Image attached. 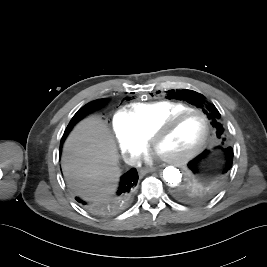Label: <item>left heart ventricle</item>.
I'll return each instance as SVG.
<instances>
[{
	"label": "left heart ventricle",
	"mask_w": 267,
	"mask_h": 267,
	"mask_svg": "<svg viewBox=\"0 0 267 267\" xmlns=\"http://www.w3.org/2000/svg\"><path fill=\"white\" fill-rule=\"evenodd\" d=\"M204 133L203 118L197 114L188 115L159 139L156 150L163 157L188 152L201 141Z\"/></svg>",
	"instance_id": "obj_1"
}]
</instances>
